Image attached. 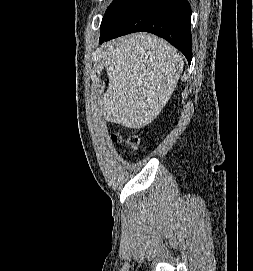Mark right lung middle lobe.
<instances>
[{"instance_id":"dd1d6c3e","label":"right lung middle lobe","mask_w":253,"mask_h":271,"mask_svg":"<svg viewBox=\"0 0 253 271\" xmlns=\"http://www.w3.org/2000/svg\"><path fill=\"white\" fill-rule=\"evenodd\" d=\"M135 0H114L107 8L101 23V32L111 30Z\"/></svg>"}]
</instances>
